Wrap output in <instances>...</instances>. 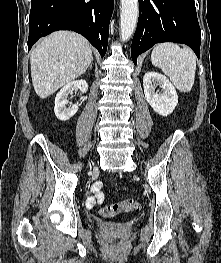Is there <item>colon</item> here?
I'll return each mask as SVG.
<instances>
[{"mask_svg":"<svg viewBox=\"0 0 221 263\" xmlns=\"http://www.w3.org/2000/svg\"><path fill=\"white\" fill-rule=\"evenodd\" d=\"M138 208V203L134 199H125L121 202H115L104 206L100 213L104 217H112L121 213H129Z\"/></svg>","mask_w":221,"mask_h":263,"instance_id":"obj_1","label":"colon"}]
</instances>
